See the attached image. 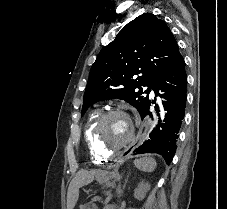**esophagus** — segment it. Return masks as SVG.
<instances>
[{"label": "esophagus", "mask_w": 227, "mask_h": 209, "mask_svg": "<svg viewBox=\"0 0 227 209\" xmlns=\"http://www.w3.org/2000/svg\"><path fill=\"white\" fill-rule=\"evenodd\" d=\"M151 120L150 116H145L144 120H140L137 124V127L139 128V138H136L135 141H133V144L129 145L130 149H125L124 151H118V154L116 155V162H111L108 167H106V170L109 169H116L117 167H120L123 161L126 160L127 157L130 156V154L133 153L132 149H137L138 146H142L143 142H146V138H149L148 129L150 128V125L148 124V121Z\"/></svg>", "instance_id": "34e87169"}]
</instances>
